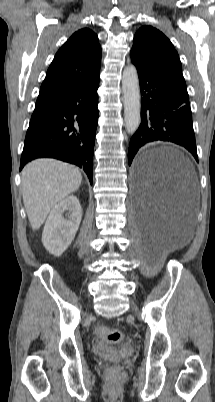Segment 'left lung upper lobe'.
I'll use <instances>...</instances> for the list:
<instances>
[{"instance_id":"5c2ea615","label":"left lung upper lobe","mask_w":215,"mask_h":402,"mask_svg":"<svg viewBox=\"0 0 215 402\" xmlns=\"http://www.w3.org/2000/svg\"><path fill=\"white\" fill-rule=\"evenodd\" d=\"M130 55L136 68L158 75L187 93L178 53L161 31L142 26L134 36Z\"/></svg>"}]
</instances>
